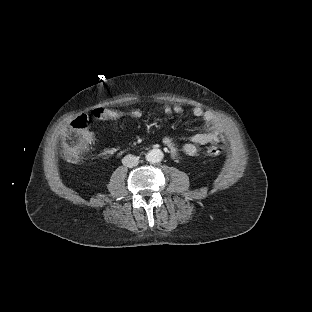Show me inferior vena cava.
<instances>
[{"label": "inferior vena cava", "mask_w": 312, "mask_h": 312, "mask_svg": "<svg viewBox=\"0 0 312 312\" xmlns=\"http://www.w3.org/2000/svg\"><path fill=\"white\" fill-rule=\"evenodd\" d=\"M125 166L132 168L139 164V159L136 156H126L124 159Z\"/></svg>", "instance_id": "1"}]
</instances>
